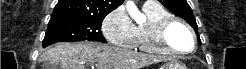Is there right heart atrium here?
Returning a JSON list of instances; mask_svg holds the SVG:
<instances>
[{"instance_id":"d8ad5b80","label":"right heart atrium","mask_w":246,"mask_h":69,"mask_svg":"<svg viewBox=\"0 0 246 69\" xmlns=\"http://www.w3.org/2000/svg\"><path fill=\"white\" fill-rule=\"evenodd\" d=\"M134 27L126 10L117 7L104 18L102 32L112 45L130 48L133 45Z\"/></svg>"}]
</instances>
